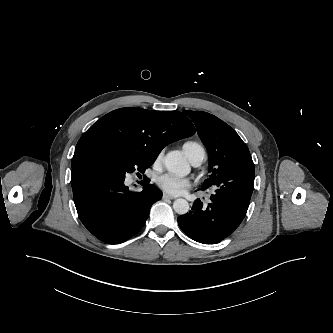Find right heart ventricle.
Masks as SVG:
<instances>
[{
	"label": "right heart ventricle",
	"mask_w": 333,
	"mask_h": 333,
	"mask_svg": "<svg viewBox=\"0 0 333 333\" xmlns=\"http://www.w3.org/2000/svg\"><path fill=\"white\" fill-rule=\"evenodd\" d=\"M182 149L190 161H192L198 154L205 152L203 146L195 141L185 142L182 145Z\"/></svg>",
	"instance_id": "obj_1"
}]
</instances>
